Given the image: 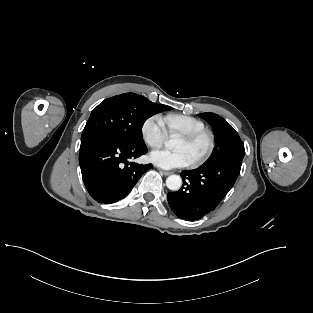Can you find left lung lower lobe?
<instances>
[{"label": "left lung lower lobe", "mask_w": 313, "mask_h": 313, "mask_svg": "<svg viewBox=\"0 0 313 313\" xmlns=\"http://www.w3.org/2000/svg\"><path fill=\"white\" fill-rule=\"evenodd\" d=\"M241 165V158H228L182 171V188L167 195L170 208L184 220L202 218L214 210L233 187Z\"/></svg>", "instance_id": "0a47b994"}]
</instances>
